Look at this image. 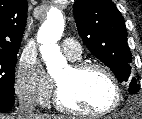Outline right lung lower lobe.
I'll list each match as a JSON object with an SVG mask.
<instances>
[{"label":"right lung lower lobe","instance_id":"right-lung-lower-lobe-1","mask_svg":"<svg viewBox=\"0 0 142 119\" xmlns=\"http://www.w3.org/2000/svg\"><path fill=\"white\" fill-rule=\"evenodd\" d=\"M15 98L11 99L10 97L0 95V112L9 111L14 105Z\"/></svg>","mask_w":142,"mask_h":119}]
</instances>
